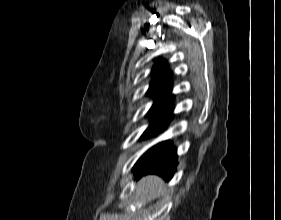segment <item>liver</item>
<instances>
[{"instance_id":"liver-1","label":"liver","mask_w":281,"mask_h":220,"mask_svg":"<svg viewBox=\"0 0 281 220\" xmlns=\"http://www.w3.org/2000/svg\"><path fill=\"white\" fill-rule=\"evenodd\" d=\"M163 186L164 182L161 178L149 175L139 181L137 191L141 192L143 196L151 198L160 193Z\"/></svg>"}]
</instances>
